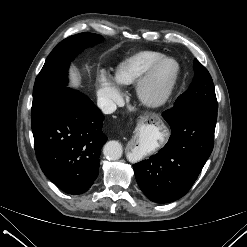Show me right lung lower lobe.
<instances>
[{
  "instance_id": "98d812e1",
  "label": "right lung lower lobe",
  "mask_w": 247,
  "mask_h": 247,
  "mask_svg": "<svg viewBox=\"0 0 247 247\" xmlns=\"http://www.w3.org/2000/svg\"><path fill=\"white\" fill-rule=\"evenodd\" d=\"M104 116L84 94L66 88L32 123L34 147L44 174L66 193L86 192L99 174L100 149L107 141Z\"/></svg>"
}]
</instances>
